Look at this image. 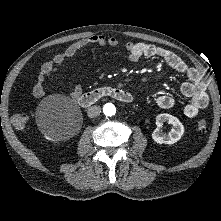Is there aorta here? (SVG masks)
I'll return each instance as SVG.
<instances>
[{
	"mask_svg": "<svg viewBox=\"0 0 221 221\" xmlns=\"http://www.w3.org/2000/svg\"><path fill=\"white\" fill-rule=\"evenodd\" d=\"M104 113L107 116H113L116 113V108L113 104H106L104 107Z\"/></svg>",
	"mask_w": 221,
	"mask_h": 221,
	"instance_id": "762f6f07",
	"label": "aorta"
}]
</instances>
